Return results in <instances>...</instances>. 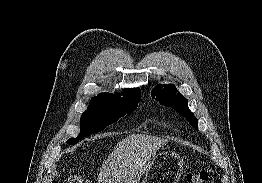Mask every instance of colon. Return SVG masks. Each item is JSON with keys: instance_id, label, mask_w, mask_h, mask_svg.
<instances>
[{"instance_id": "1", "label": "colon", "mask_w": 262, "mask_h": 183, "mask_svg": "<svg viewBox=\"0 0 262 183\" xmlns=\"http://www.w3.org/2000/svg\"><path fill=\"white\" fill-rule=\"evenodd\" d=\"M208 177L206 171H197L186 174L184 180L185 183H205ZM65 183H90V181L83 176L75 175L69 177Z\"/></svg>"}]
</instances>
